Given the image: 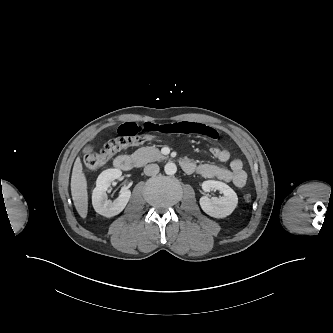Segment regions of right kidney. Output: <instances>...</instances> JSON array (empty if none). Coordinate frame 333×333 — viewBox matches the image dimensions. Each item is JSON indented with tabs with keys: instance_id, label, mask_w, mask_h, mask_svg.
Instances as JSON below:
<instances>
[{
	"instance_id": "right-kidney-1",
	"label": "right kidney",
	"mask_w": 333,
	"mask_h": 333,
	"mask_svg": "<svg viewBox=\"0 0 333 333\" xmlns=\"http://www.w3.org/2000/svg\"><path fill=\"white\" fill-rule=\"evenodd\" d=\"M122 172L119 169L104 170L97 178L96 187L92 193V204L94 210L105 217H113L119 214L127 205L131 192L124 189L114 201L109 200L106 194L107 189L113 180L119 179Z\"/></svg>"
}]
</instances>
